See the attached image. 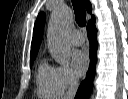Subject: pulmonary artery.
<instances>
[{"instance_id": "obj_1", "label": "pulmonary artery", "mask_w": 128, "mask_h": 99, "mask_svg": "<svg viewBox=\"0 0 128 99\" xmlns=\"http://www.w3.org/2000/svg\"><path fill=\"white\" fill-rule=\"evenodd\" d=\"M70 40L74 45H82L85 42V36L79 30H73L70 33Z\"/></svg>"}]
</instances>
